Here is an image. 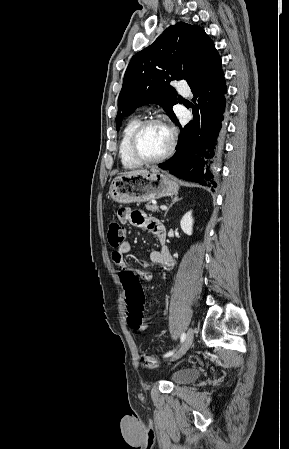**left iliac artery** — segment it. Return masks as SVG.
Instances as JSON below:
<instances>
[{
  "label": "left iliac artery",
  "instance_id": "1",
  "mask_svg": "<svg viewBox=\"0 0 289 449\" xmlns=\"http://www.w3.org/2000/svg\"><path fill=\"white\" fill-rule=\"evenodd\" d=\"M185 337H186V334H185V333H182V334H181V337H180L181 343L185 340ZM173 352H174V351H170V352L166 353V354L164 355V357H169V356H171V355L173 354Z\"/></svg>",
  "mask_w": 289,
  "mask_h": 449
}]
</instances>
